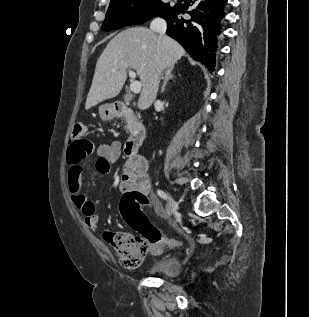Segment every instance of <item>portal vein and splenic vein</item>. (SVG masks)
Returning <instances> with one entry per match:
<instances>
[{
	"instance_id": "portal-vein-and-splenic-vein-1",
	"label": "portal vein and splenic vein",
	"mask_w": 309,
	"mask_h": 317,
	"mask_svg": "<svg viewBox=\"0 0 309 317\" xmlns=\"http://www.w3.org/2000/svg\"><path fill=\"white\" fill-rule=\"evenodd\" d=\"M129 77L132 79V82L130 84V90L135 94L139 93L141 90V82L134 80L136 77V73L134 71L130 70Z\"/></svg>"
}]
</instances>
